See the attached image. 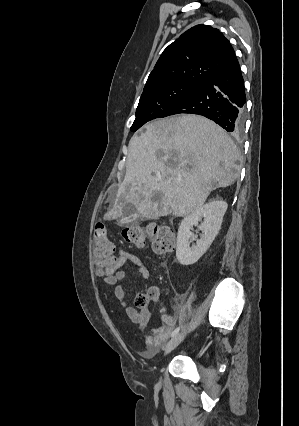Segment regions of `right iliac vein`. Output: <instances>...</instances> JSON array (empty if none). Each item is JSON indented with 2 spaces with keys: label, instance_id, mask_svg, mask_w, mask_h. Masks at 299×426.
I'll list each match as a JSON object with an SVG mask.
<instances>
[{
  "label": "right iliac vein",
  "instance_id": "right-iliac-vein-1",
  "mask_svg": "<svg viewBox=\"0 0 299 426\" xmlns=\"http://www.w3.org/2000/svg\"><path fill=\"white\" fill-rule=\"evenodd\" d=\"M185 332H182L175 337H173L165 346L164 348V354L167 355L169 352H171L184 338Z\"/></svg>",
  "mask_w": 299,
  "mask_h": 426
}]
</instances>
